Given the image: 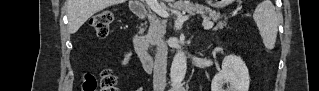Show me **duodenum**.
Wrapping results in <instances>:
<instances>
[{
    "instance_id": "obj_1",
    "label": "duodenum",
    "mask_w": 319,
    "mask_h": 91,
    "mask_svg": "<svg viewBox=\"0 0 319 91\" xmlns=\"http://www.w3.org/2000/svg\"><path fill=\"white\" fill-rule=\"evenodd\" d=\"M133 12L138 17L140 23L133 33L134 51L146 72H151L154 67V58L147 49V43L143 32V22L146 20L148 11L143 4L133 6Z\"/></svg>"
}]
</instances>
